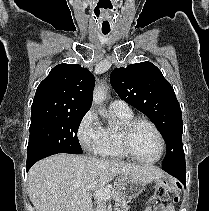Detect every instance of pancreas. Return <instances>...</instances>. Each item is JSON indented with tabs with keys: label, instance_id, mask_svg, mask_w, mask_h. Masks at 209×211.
I'll use <instances>...</instances> for the list:
<instances>
[{
	"label": "pancreas",
	"instance_id": "cf45deb5",
	"mask_svg": "<svg viewBox=\"0 0 209 211\" xmlns=\"http://www.w3.org/2000/svg\"><path fill=\"white\" fill-rule=\"evenodd\" d=\"M112 191H116L118 193L117 196L115 197V200L119 205V209L117 211H128L129 206L126 202V198L123 192L117 187H114ZM106 203H107L106 199H97L96 209L94 211H106Z\"/></svg>",
	"mask_w": 209,
	"mask_h": 211
}]
</instances>
